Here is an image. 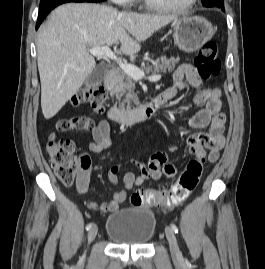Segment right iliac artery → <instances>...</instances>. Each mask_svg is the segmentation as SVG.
I'll use <instances>...</instances> for the list:
<instances>
[{
    "instance_id": "obj_1",
    "label": "right iliac artery",
    "mask_w": 265,
    "mask_h": 269,
    "mask_svg": "<svg viewBox=\"0 0 265 269\" xmlns=\"http://www.w3.org/2000/svg\"><path fill=\"white\" fill-rule=\"evenodd\" d=\"M91 227H92V224L91 223L87 224L86 225V230H89Z\"/></svg>"
}]
</instances>
